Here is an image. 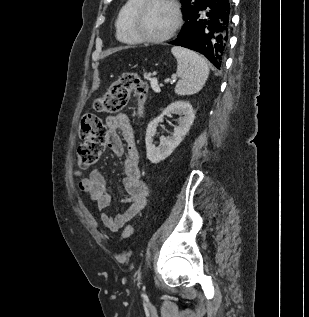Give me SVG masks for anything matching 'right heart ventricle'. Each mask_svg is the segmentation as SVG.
<instances>
[{
	"label": "right heart ventricle",
	"mask_w": 309,
	"mask_h": 317,
	"mask_svg": "<svg viewBox=\"0 0 309 317\" xmlns=\"http://www.w3.org/2000/svg\"><path fill=\"white\" fill-rule=\"evenodd\" d=\"M141 2L142 0H126L117 15L115 21L116 37L122 43H139L138 39L131 31L130 19L133 11Z\"/></svg>",
	"instance_id": "1"
}]
</instances>
